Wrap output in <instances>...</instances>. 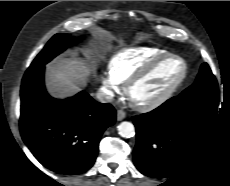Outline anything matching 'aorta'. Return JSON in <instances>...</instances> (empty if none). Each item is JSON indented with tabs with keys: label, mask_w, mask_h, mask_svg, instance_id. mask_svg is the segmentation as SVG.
I'll use <instances>...</instances> for the list:
<instances>
[{
	"label": "aorta",
	"mask_w": 230,
	"mask_h": 186,
	"mask_svg": "<svg viewBox=\"0 0 230 186\" xmlns=\"http://www.w3.org/2000/svg\"><path fill=\"white\" fill-rule=\"evenodd\" d=\"M118 133L124 138H131L135 135V127L131 122H121L118 125Z\"/></svg>",
	"instance_id": "762f6f07"
}]
</instances>
